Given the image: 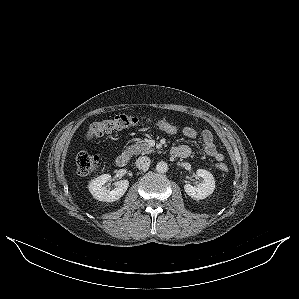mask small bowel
I'll list each match as a JSON object with an SVG mask.
<instances>
[{"label": "small bowel", "mask_w": 299, "mask_h": 299, "mask_svg": "<svg viewBox=\"0 0 299 299\" xmlns=\"http://www.w3.org/2000/svg\"><path fill=\"white\" fill-rule=\"evenodd\" d=\"M185 137L189 139H195L198 136V132L195 128L191 126H185L182 130ZM201 140L203 142L204 151L207 155L214 158L217 162L221 163L224 160V155L217 149L213 135L209 130H203L200 134ZM175 148H182L190 154V148L186 145H181ZM186 156V157H187Z\"/></svg>", "instance_id": "1"}]
</instances>
